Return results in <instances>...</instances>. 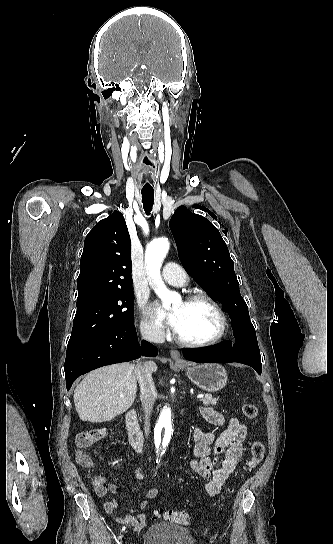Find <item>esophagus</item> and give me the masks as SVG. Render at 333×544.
<instances>
[{
  "mask_svg": "<svg viewBox=\"0 0 333 544\" xmlns=\"http://www.w3.org/2000/svg\"><path fill=\"white\" fill-rule=\"evenodd\" d=\"M170 356L173 360H175L176 362H182V358L180 356V353L177 351V350H170Z\"/></svg>",
  "mask_w": 333,
  "mask_h": 544,
  "instance_id": "34e87169",
  "label": "esophagus"
}]
</instances>
